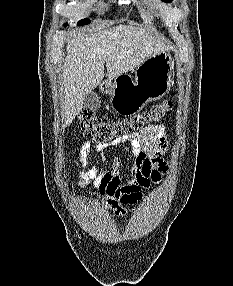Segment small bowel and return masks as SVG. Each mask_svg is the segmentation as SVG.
Here are the masks:
<instances>
[{"instance_id":"obj_1","label":"small bowel","mask_w":233,"mask_h":286,"mask_svg":"<svg viewBox=\"0 0 233 286\" xmlns=\"http://www.w3.org/2000/svg\"><path fill=\"white\" fill-rule=\"evenodd\" d=\"M122 142H128L134 162L131 168V178L121 183L118 174L120 160L115 159L108 170H100L98 165L83 169L80 172L81 186H93L104 197L103 203L110 207L117 216H125L127 206L137 203L151 183H157L167 171V163L163 156L168 152L169 144L165 127L161 124L149 125L140 133L124 138L111 144L99 143L98 151H106ZM91 147L85 142L79 148L77 155L83 167L86 164L87 153Z\"/></svg>"}]
</instances>
